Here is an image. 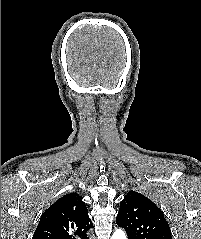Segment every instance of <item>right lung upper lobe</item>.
<instances>
[{"mask_svg":"<svg viewBox=\"0 0 201 239\" xmlns=\"http://www.w3.org/2000/svg\"><path fill=\"white\" fill-rule=\"evenodd\" d=\"M93 228L82 197L69 193L58 199L41 216L33 239H88Z\"/></svg>","mask_w":201,"mask_h":239,"instance_id":"1","label":"right lung upper lobe"}]
</instances>
